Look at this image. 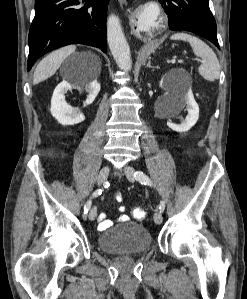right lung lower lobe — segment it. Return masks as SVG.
<instances>
[{
    "mask_svg": "<svg viewBox=\"0 0 247 299\" xmlns=\"http://www.w3.org/2000/svg\"><path fill=\"white\" fill-rule=\"evenodd\" d=\"M109 0H35L29 31L27 70L45 53L69 44L107 52L106 12ZM82 3L84 6H81Z\"/></svg>",
    "mask_w": 247,
    "mask_h": 299,
    "instance_id": "98d812e1",
    "label": "right lung lower lobe"
}]
</instances>
